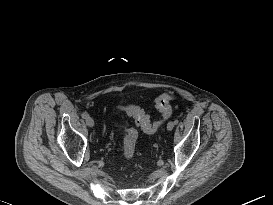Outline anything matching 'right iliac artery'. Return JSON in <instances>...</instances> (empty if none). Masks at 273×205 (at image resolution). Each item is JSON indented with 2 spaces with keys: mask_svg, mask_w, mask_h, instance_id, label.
<instances>
[{
  "mask_svg": "<svg viewBox=\"0 0 273 205\" xmlns=\"http://www.w3.org/2000/svg\"><path fill=\"white\" fill-rule=\"evenodd\" d=\"M81 116H82V118L86 119L88 117V114H87V112H83Z\"/></svg>",
  "mask_w": 273,
  "mask_h": 205,
  "instance_id": "obj_1",
  "label": "right iliac artery"
}]
</instances>
